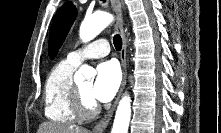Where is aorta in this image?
Masks as SVG:
<instances>
[{
    "label": "aorta",
    "instance_id": "1",
    "mask_svg": "<svg viewBox=\"0 0 221 133\" xmlns=\"http://www.w3.org/2000/svg\"><path fill=\"white\" fill-rule=\"evenodd\" d=\"M112 21L113 16L107 12H99L86 17L80 26L79 35L81 40L83 42H88L94 39ZM94 75L95 70L92 67L82 65L75 73L74 80L83 81L85 77L91 79ZM130 118L131 98L126 94L121 98L118 104L111 133H128Z\"/></svg>",
    "mask_w": 221,
    "mask_h": 133
}]
</instances>
